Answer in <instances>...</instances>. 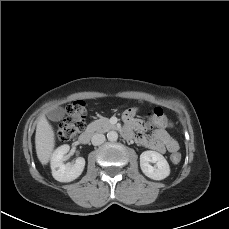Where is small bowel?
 <instances>
[{"instance_id": "c3829d8e", "label": "small bowel", "mask_w": 229, "mask_h": 229, "mask_svg": "<svg viewBox=\"0 0 229 229\" xmlns=\"http://www.w3.org/2000/svg\"><path fill=\"white\" fill-rule=\"evenodd\" d=\"M137 112V108H129L123 113L125 130L130 133V137L125 138H133L138 144L159 153H164L166 149L169 150L168 146L171 143L177 145V142L167 132V128L170 127V124L161 108H156L153 115L151 116L152 124L156 128L148 137L141 133H134L135 130L143 128V122L136 116Z\"/></svg>"}]
</instances>
